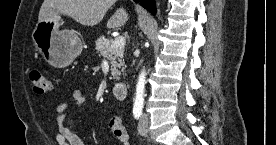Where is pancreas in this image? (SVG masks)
Returning <instances> with one entry per match:
<instances>
[{
	"mask_svg": "<svg viewBox=\"0 0 276 145\" xmlns=\"http://www.w3.org/2000/svg\"><path fill=\"white\" fill-rule=\"evenodd\" d=\"M112 41L104 36L98 38L95 42L96 50L102 57H107L111 64V75L115 80L120 79V68L124 66V47L112 48Z\"/></svg>",
	"mask_w": 276,
	"mask_h": 145,
	"instance_id": "obj_1",
	"label": "pancreas"
}]
</instances>
